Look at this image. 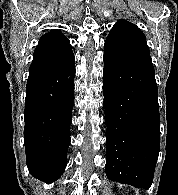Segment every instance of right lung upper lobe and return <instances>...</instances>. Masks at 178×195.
<instances>
[{
	"label": "right lung upper lobe",
	"mask_w": 178,
	"mask_h": 195,
	"mask_svg": "<svg viewBox=\"0 0 178 195\" xmlns=\"http://www.w3.org/2000/svg\"><path fill=\"white\" fill-rule=\"evenodd\" d=\"M73 60L69 40L60 31L52 30L40 38L29 71L60 67Z\"/></svg>",
	"instance_id": "1"
}]
</instances>
